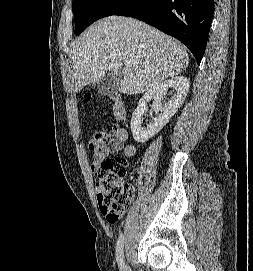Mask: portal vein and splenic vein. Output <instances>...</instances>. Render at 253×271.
Listing matches in <instances>:
<instances>
[{
    "label": "portal vein and splenic vein",
    "instance_id": "1",
    "mask_svg": "<svg viewBox=\"0 0 253 271\" xmlns=\"http://www.w3.org/2000/svg\"><path fill=\"white\" fill-rule=\"evenodd\" d=\"M126 65H127V66L131 65V62H127Z\"/></svg>",
    "mask_w": 253,
    "mask_h": 271
}]
</instances>
